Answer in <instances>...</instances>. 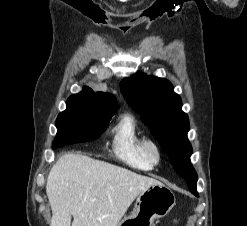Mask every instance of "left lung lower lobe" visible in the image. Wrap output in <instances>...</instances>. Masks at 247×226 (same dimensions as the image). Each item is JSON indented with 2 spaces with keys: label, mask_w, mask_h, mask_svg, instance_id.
<instances>
[{
  "label": "left lung lower lobe",
  "mask_w": 247,
  "mask_h": 226,
  "mask_svg": "<svg viewBox=\"0 0 247 226\" xmlns=\"http://www.w3.org/2000/svg\"><path fill=\"white\" fill-rule=\"evenodd\" d=\"M181 176V175H180ZM183 178L187 181L190 191L198 197V193L196 190L197 186V173L195 172L194 168L191 170L185 171L183 174Z\"/></svg>",
  "instance_id": "1"
}]
</instances>
